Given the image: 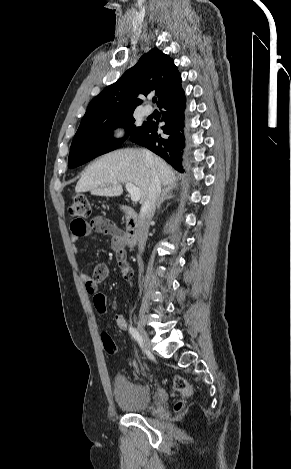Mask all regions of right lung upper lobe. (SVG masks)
Instances as JSON below:
<instances>
[{"label":"right lung upper lobe","mask_w":291,"mask_h":469,"mask_svg":"<svg viewBox=\"0 0 291 469\" xmlns=\"http://www.w3.org/2000/svg\"><path fill=\"white\" fill-rule=\"evenodd\" d=\"M181 75L173 60L154 48L127 70L114 84L106 87L89 103L82 119L94 120L133 112L142 103L138 97L156 90L158 103L182 88Z\"/></svg>","instance_id":"cb5924a9"}]
</instances>
